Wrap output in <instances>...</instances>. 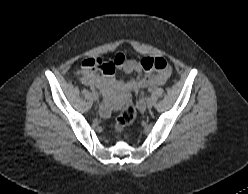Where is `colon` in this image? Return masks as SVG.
Masks as SVG:
<instances>
[{"instance_id": "obj_1", "label": "colon", "mask_w": 248, "mask_h": 194, "mask_svg": "<svg viewBox=\"0 0 248 194\" xmlns=\"http://www.w3.org/2000/svg\"><path fill=\"white\" fill-rule=\"evenodd\" d=\"M143 66L146 70L163 71L167 68V61L163 58H146ZM135 117L136 110L132 101V96L129 93H125L123 107L113 125L115 133H123L126 127L134 121Z\"/></svg>"}]
</instances>
